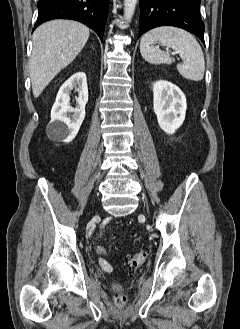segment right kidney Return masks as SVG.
I'll list each match as a JSON object with an SVG mask.
<instances>
[{"instance_id":"1","label":"right kidney","mask_w":240,"mask_h":329,"mask_svg":"<svg viewBox=\"0 0 240 329\" xmlns=\"http://www.w3.org/2000/svg\"><path fill=\"white\" fill-rule=\"evenodd\" d=\"M78 93L75 108L70 105V93ZM88 102L86 74H73L59 89L56 101L51 110V120L47 133L54 139L70 143L77 135L85 118V105ZM69 113H73L69 116Z\"/></svg>"}]
</instances>
